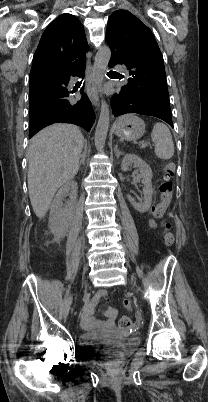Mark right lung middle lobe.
I'll return each instance as SVG.
<instances>
[{
	"instance_id": "obj_1",
	"label": "right lung middle lobe",
	"mask_w": 208,
	"mask_h": 402,
	"mask_svg": "<svg viewBox=\"0 0 208 402\" xmlns=\"http://www.w3.org/2000/svg\"><path fill=\"white\" fill-rule=\"evenodd\" d=\"M50 94L40 91H29V112L30 119L35 117L39 112L47 110L48 100L53 99Z\"/></svg>"
}]
</instances>
